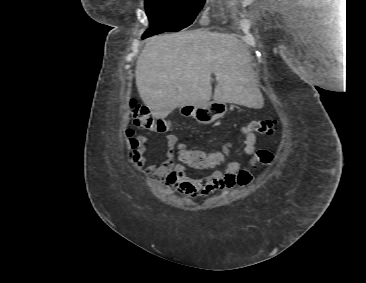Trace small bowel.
<instances>
[{"label":"small bowel","mask_w":366,"mask_h":283,"mask_svg":"<svg viewBox=\"0 0 366 283\" xmlns=\"http://www.w3.org/2000/svg\"><path fill=\"white\" fill-rule=\"evenodd\" d=\"M241 132L244 134V153L254 156L257 144L255 134L249 130L248 126H243ZM146 142L147 138L144 136H139L136 139V147L133 154V162L136 167L148 175L151 180L162 182L166 188L174 189L180 195L188 198L206 197L216 191L232 189L237 184L239 172L243 169L238 161H229L224 171L215 170L205 176L188 174L186 168L175 161V149L178 138L174 134L166 136L167 152L165 159L160 163L146 165ZM210 155L211 163L200 169L214 168L224 159L223 152H213Z\"/></svg>","instance_id":"small-bowel-1"}]
</instances>
